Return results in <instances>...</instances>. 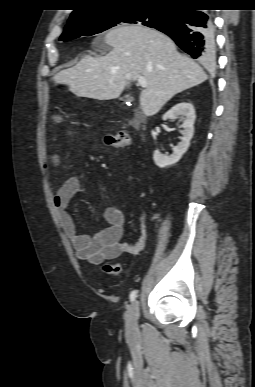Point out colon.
Listing matches in <instances>:
<instances>
[{
    "label": "colon",
    "instance_id": "1",
    "mask_svg": "<svg viewBox=\"0 0 255 387\" xmlns=\"http://www.w3.org/2000/svg\"><path fill=\"white\" fill-rule=\"evenodd\" d=\"M104 143L111 148H124L130 147L133 144L132 137L125 132L117 134H107L104 137ZM103 270L109 274H120L122 269L119 265L106 263L103 265Z\"/></svg>",
    "mask_w": 255,
    "mask_h": 387
}]
</instances>
